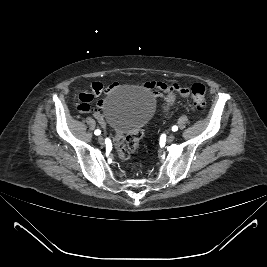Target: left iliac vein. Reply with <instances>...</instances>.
<instances>
[{
    "label": "left iliac vein",
    "mask_w": 267,
    "mask_h": 267,
    "mask_svg": "<svg viewBox=\"0 0 267 267\" xmlns=\"http://www.w3.org/2000/svg\"><path fill=\"white\" fill-rule=\"evenodd\" d=\"M174 139H175V135H174V134H170V135L167 137V142H168V143H171V142L174 141Z\"/></svg>",
    "instance_id": "left-iliac-vein-1"
}]
</instances>
